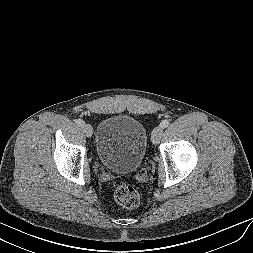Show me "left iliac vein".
<instances>
[{"label": "left iliac vein", "mask_w": 253, "mask_h": 253, "mask_svg": "<svg viewBox=\"0 0 253 253\" xmlns=\"http://www.w3.org/2000/svg\"><path fill=\"white\" fill-rule=\"evenodd\" d=\"M163 134V128L161 126L156 127L151 135V140L153 144H158Z\"/></svg>", "instance_id": "4c4485c4"}]
</instances>
